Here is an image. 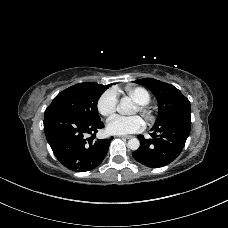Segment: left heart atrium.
<instances>
[{
	"label": "left heart atrium",
	"instance_id": "obj_1",
	"mask_svg": "<svg viewBox=\"0 0 228 228\" xmlns=\"http://www.w3.org/2000/svg\"><path fill=\"white\" fill-rule=\"evenodd\" d=\"M106 127L111 134L124 135L141 131L144 128V122L139 116L114 115L107 121Z\"/></svg>",
	"mask_w": 228,
	"mask_h": 228
}]
</instances>
